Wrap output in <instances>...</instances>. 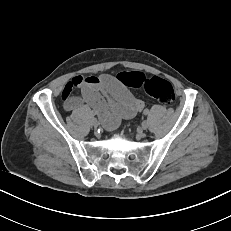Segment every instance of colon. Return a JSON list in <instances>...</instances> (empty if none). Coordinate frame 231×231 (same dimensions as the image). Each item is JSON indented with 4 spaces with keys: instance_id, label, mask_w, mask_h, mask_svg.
<instances>
[{
    "instance_id": "5ec220e1",
    "label": "colon",
    "mask_w": 231,
    "mask_h": 231,
    "mask_svg": "<svg viewBox=\"0 0 231 231\" xmlns=\"http://www.w3.org/2000/svg\"><path fill=\"white\" fill-rule=\"evenodd\" d=\"M117 80L129 88H143L152 98L164 105H171L175 101V92L172 85L159 77L148 78L141 72H121Z\"/></svg>"
}]
</instances>
